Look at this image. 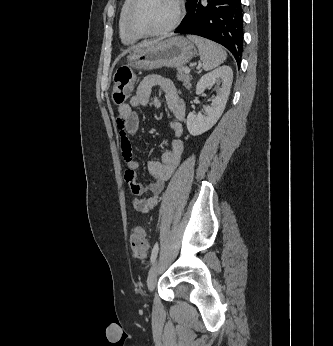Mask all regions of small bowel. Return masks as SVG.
I'll return each instance as SVG.
<instances>
[{
    "instance_id": "1",
    "label": "small bowel",
    "mask_w": 333,
    "mask_h": 346,
    "mask_svg": "<svg viewBox=\"0 0 333 346\" xmlns=\"http://www.w3.org/2000/svg\"><path fill=\"white\" fill-rule=\"evenodd\" d=\"M154 90L156 92L153 96ZM158 95L164 97L171 115L170 128L173 132V140L171 149L164 152L160 160L148 161L147 169L153 181L148 186H144L138 181L137 170L139 164L134 159L130 141V136L136 135L139 125V117L133 108L145 106L151 98H153L154 105L159 107ZM118 112L117 127L119 129L121 152L126 165L125 181L131 192L138 196L132 199V206L140 213H148L157 206L165 182L172 176L181 161L184 151L181 136L183 133L182 121L185 116V103L171 80L158 75H148L139 83L129 102L119 106ZM147 192H150L151 195L145 197L144 194Z\"/></svg>"
}]
</instances>
